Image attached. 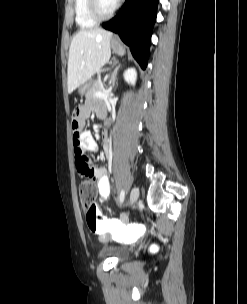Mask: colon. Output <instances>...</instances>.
I'll list each match as a JSON object with an SVG mask.
<instances>
[{
  "label": "colon",
  "mask_w": 247,
  "mask_h": 304,
  "mask_svg": "<svg viewBox=\"0 0 247 304\" xmlns=\"http://www.w3.org/2000/svg\"><path fill=\"white\" fill-rule=\"evenodd\" d=\"M80 120V119H72ZM78 164L81 168L87 167V159H78ZM79 200L86 212V222L91 232L106 236L111 234L113 238H118L119 246H134L136 241L126 238H145V228L143 224H119L114 220H109L104 217L96 204L94 198L96 189L90 176H86L79 185ZM161 241H148V253H159Z\"/></svg>",
  "instance_id": "5ec220e1"
}]
</instances>
